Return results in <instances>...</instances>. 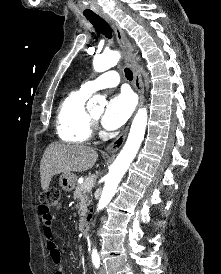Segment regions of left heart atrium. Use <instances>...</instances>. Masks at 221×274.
Returning a JSON list of instances; mask_svg holds the SVG:
<instances>
[{
  "label": "left heart atrium",
  "instance_id": "39dd6f15",
  "mask_svg": "<svg viewBox=\"0 0 221 274\" xmlns=\"http://www.w3.org/2000/svg\"><path fill=\"white\" fill-rule=\"evenodd\" d=\"M135 106L131 93L121 92L110 99L102 116V124L108 130L122 126L130 117Z\"/></svg>",
  "mask_w": 221,
  "mask_h": 274
}]
</instances>
